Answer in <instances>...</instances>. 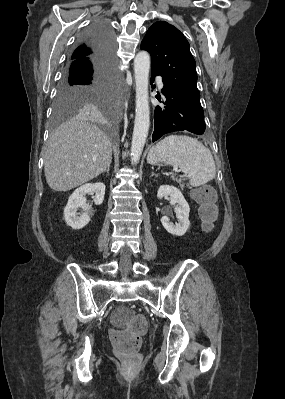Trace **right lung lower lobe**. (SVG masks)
<instances>
[{
  "mask_svg": "<svg viewBox=\"0 0 285 399\" xmlns=\"http://www.w3.org/2000/svg\"><path fill=\"white\" fill-rule=\"evenodd\" d=\"M94 49L90 57L68 61L63 79L82 86L113 85L115 80V38L109 23L97 21L80 37Z\"/></svg>",
  "mask_w": 285,
  "mask_h": 399,
  "instance_id": "98d812e1",
  "label": "right lung lower lobe"
}]
</instances>
